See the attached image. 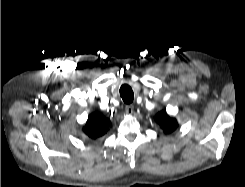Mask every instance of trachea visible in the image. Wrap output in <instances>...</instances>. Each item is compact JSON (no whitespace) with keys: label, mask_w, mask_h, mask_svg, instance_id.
Listing matches in <instances>:
<instances>
[{"label":"trachea","mask_w":245,"mask_h":187,"mask_svg":"<svg viewBox=\"0 0 245 187\" xmlns=\"http://www.w3.org/2000/svg\"><path fill=\"white\" fill-rule=\"evenodd\" d=\"M120 96H121L122 100L124 101V103H126V104L132 103V101L134 99V94H133L132 88L127 84L122 85L120 88Z\"/></svg>","instance_id":"obj_1"}]
</instances>
